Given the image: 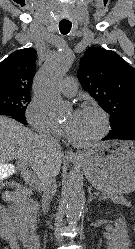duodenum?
I'll list each match as a JSON object with an SVG mask.
<instances>
[{
	"label": "duodenum",
	"instance_id": "1",
	"mask_svg": "<svg viewBox=\"0 0 135 249\" xmlns=\"http://www.w3.org/2000/svg\"><path fill=\"white\" fill-rule=\"evenodd\" d=\"M4 199L7 202L12 204L10 206H12L17 211L18 215L20 213L26 218L25 225H26V227L30 228L31 225L27 221L29 216L25 212V207H26L28 199H29L28 191L25 188L20 187L18 189L6 192L4 194ZM26 243L34 249H40V247L42 245L40 233L36 232L32 238H30V239L27 238Z\"/></svg>",
	"mask_w": 135,
	"mask_h": 249
}]
</instances>
